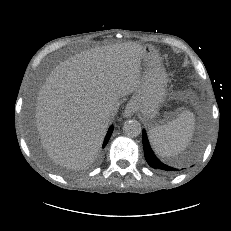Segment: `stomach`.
<instances>
[{"label":"stomach","instance_id":"0dacf381","mask_svg":"<svg viewBox=\"0 0 231 231\" xmlns=\"http://www.w3.org/2000/svg\"><path fill=\"white\" fill-rule=\"evenodd\" d=\"M144 71L129 105H133L150 126L156 125L161 103L166 96L167 74L160 58L151 46L144 47Z\"/></svg>","mask_w":231,"mask_h":231}]
</instances>
